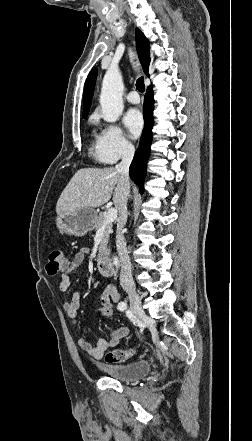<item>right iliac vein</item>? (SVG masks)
<instances>
[{"instance_id": "obj_1", "label": "right iliac vein", "mask_w": 252, "mask_h": 441, "mask_svg": "<svg viewBox=\"0 0 252 441\" xmlns=\"http://www.w3.org/2000/svg\"><path fill=\"white\" fill-rule=\"evenodd\" d=\"M128 296L130 299V309L133 314L137 317H141L144 315V311L142 309L141 300L138 293L135 290H128Z\"/></svg>"}]
</instances>
